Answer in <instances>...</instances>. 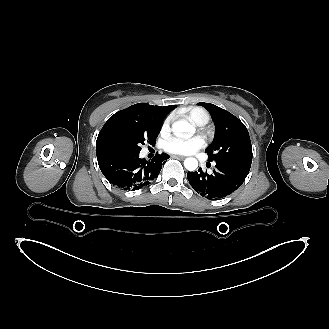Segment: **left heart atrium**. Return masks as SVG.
Instances as JSON below:
<instances>
[{
    "label": "left heart atrium",
    "instance_id": "obj_1",
    "mask_svg": "<svg viewBox=\"0 0 329 329\" xmlns=\"http://www.w3.org/2000/svg\"><path fill=\"white\" fill-rule=\"evenodd\" d=\"M205 146V140L201 136L191 138L170 137L164 142L165 151L173 154L189 155Z\"/></svg>",
    "mask_w": 329,
    "mask_h": 329
}]
</instances>
